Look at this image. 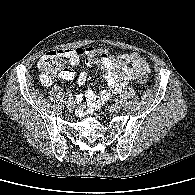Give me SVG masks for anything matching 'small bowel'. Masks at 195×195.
Segmentation results:
<instances>
[{
	"instance_id": "obj_1",
	"label": "small bowel",
	"mask_w": 195,
	"mask_h": 195,
	"mask_svg": "<svg viewBox=\"0 0 195 195\" xmlns=\"http://www.w3.org/2000/svg\"><path fill=\"white\" fill-rule=\"evenodd\" d=\"M68 59L72 67L80 64L85 58L87 66L98 65L103 70V75L107 81L108 88L99 93L91 90L86 91L84 98L87 106L77 111L78 116L84 117L102 108L113 94H117L132 80L150 73V66L146 59L138 53H123L114 55L107 49H97L88 46L86 48H72L58 51ZM65 80L77 79L83 85L87 81V73L82 71L76 73L74 70L66 69L60 74ZM79 100L82 95H78Z\"/></svg>"
}]
</instances>
